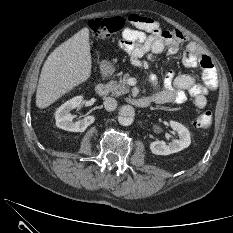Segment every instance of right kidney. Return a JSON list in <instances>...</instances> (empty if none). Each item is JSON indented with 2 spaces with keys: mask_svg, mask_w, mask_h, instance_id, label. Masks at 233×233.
Here are the masks:
<instances>
[{
  "mask_svg": "<svg viewBox=\"0 0 233 233\" xmlns=\"http://www.w3.org/2000/svg\"><path fill=\"white\" fill-rule=\"evenodd\" d=\"M82 100V96H76L66 101L57 109L55 120L58 128L71 132H84L95 121L94 116H85L82 120L72 122L73 116L70 111L78 107Z\"/></svg>",
  "mask_w": 233,
  "mask_h": 233,
  "instance_id": "1",
  "label": "right kidney"
}]
</instances>
